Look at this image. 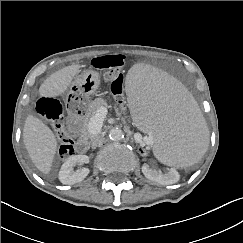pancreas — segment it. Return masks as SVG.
Masks as SVG:
<instances>
[{
    "instance_id": "obj_1",
    "label": "pancreas",
    "mask_w": 243,
    "mask_h": 243,
    "mask_svg": "<svg viewBox=\"0 0 243 243\" xmlns=\"http://www.w3.org/2000/svg\"><path fill=\"white\" fill-rule=\"evenodd\" d=\"M105 104H106V102H105V100L103 98H96L95 100L90 102V104L88 105L86 118L83 120L82 128H81V134H82L83 138L92 139L94 137L93 134L90 133V131H89V122H90V119L93 116H95V114L97 113L98 109L103 107ZM116 111H117V115L121 114L118 111V109Z\"/></svg>"
}]
</instances>
